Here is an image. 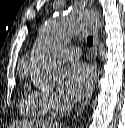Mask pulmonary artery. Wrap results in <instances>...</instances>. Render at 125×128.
<instances>
[{"label": "pulmonary artery", "mask_w": 125, "mask_h": 128, "mask_svg": "<svg viewBox=\"0 0 125 128\" xmlns=\"http://www.w3.org/2000/svg\"><path fill=\"white\" fill-rule=\"evenodd\" d=\"M80 54V49L78 47L58 48L56 51L57 57L65 61L78 59Z\"/></svg>", "instance_id": "1"}]
</instances>
